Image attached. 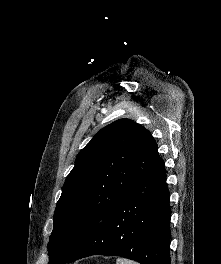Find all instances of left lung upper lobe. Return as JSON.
I'll use <instances>...</instances> for the list:
<instances>
[{
    "label": "left lung upper lobe",
    "instance_id": "5c2ea615",
    "mask_svg": "<svg viewBox=\"0 0 221 264\" xmlns=\"http://www.w3.org/2000/svg\"><path fill=\"white\" fill-rule=\"evenodd\" d=\"M161 160L150 132L129 119L101 129L66 178L48 243L49 264L69 255Z\"/></svg>",
    "mask_w": 221,
    "mask_h": 264
}]
</instances>
